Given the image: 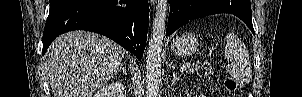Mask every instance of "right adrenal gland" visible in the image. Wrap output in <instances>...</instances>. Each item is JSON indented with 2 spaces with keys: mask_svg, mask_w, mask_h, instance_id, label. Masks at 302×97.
<instances>
[{
  "mask_svg": "<svg viewBox=\"0 0 302 97\" xmlns=\"http://www.w3.org/2000/svg\"><path fill=\"white\" fill-rule=\"evenodd\" d=\"M123 71L124 74H127L126 68L124 67V64L122 63L120 68L118 69V72Z\"/></svg>",
  "mask_w": 302,
  "mask_h": 97,
  "instance_id": "2a0ac1e0",
  "label": "right adrenal gland"
}]
</instances>
